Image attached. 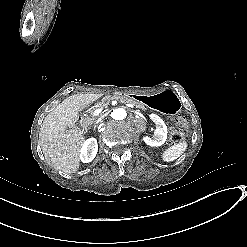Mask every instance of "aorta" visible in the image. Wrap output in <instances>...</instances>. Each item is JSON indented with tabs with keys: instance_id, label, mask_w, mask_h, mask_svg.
I'll list each match as a JSON object with an SVG mask.
<instances>
[{
	"instance_id": "1",
	"label": "aorta",
	"mask_w": 247,
	"mask_h": 247,
	"mask_svg": "<svg viewBox=\"0 0 247 247\" xmlns=\"http://www.w3.org/2000/svg\"><path fill=\"white\" fill-rule=\"evenodd\" d=\"M112 118L115 120H123L127 116V112L124 108H116L111 114Z\"/></svg>"
}]
</instances>
